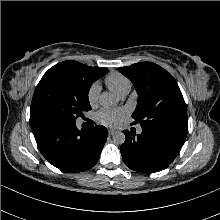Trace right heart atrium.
I'll list each match as a JSON object with an SVG mask.
<instances>
[{"label": "right heart atrium", "instance_id": "right-heart-atrium-1", "mask_svg": "<svg viewBox=\"0 0 220 220\" xmlns=\"http://www.w3.org/2000/svg\"><path fill=\"white\" fill-rule=\"evenodd\" d=\"M100 94V85L98 83H93L87 93V99L89 104L94 107L98 103Z\"/></svg>", "mask_w": 220, "mask_h": 220}]
</instances>
